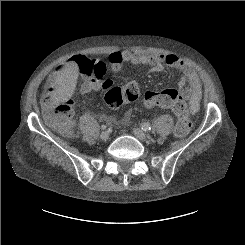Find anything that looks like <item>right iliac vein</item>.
Returning <instances> with one entry per match:
<instances>
[{"label":"right iliac vein","instance_id":"right-iliac-vein-1","mask_svg":"<svg viewBox=\"0 0 245 245\" xmlns=\"http://www.w3.org/2000/svg\"><path fill=\"white\" fill-rule=\"evenodd\" d=\"M100 138H101L102 140H104V141L108 140V139H109V132H107V131L101 132Z\"/></svg>","mask_w":245,"mask_h":245}]
</instances>
